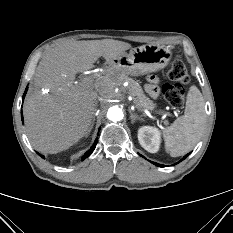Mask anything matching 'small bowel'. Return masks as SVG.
I'll return each instance as SVG.
<instances>
[{
    "instance_id": "c3829d8e",
    "label": "small bowel",
    "mask_w": 233,
    "mask_h": 233,
    "mask_svg": "<svg viewBox=\"0 0 233 233\" xmlns=\"http://www.w3.org/2000/svg\"><path fill=\"white\" fill-rule=\"evenodd\" d=\"M146 90L152 97H157L158 88L156 79H154L153 77L149 79L148 84L146 85Z\"/></svg>"
}]
</instances>
